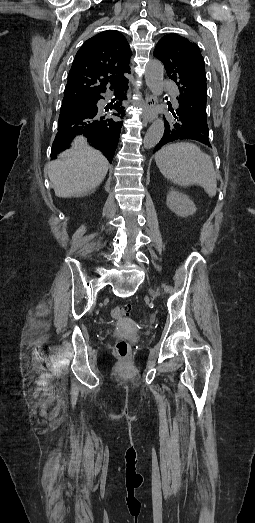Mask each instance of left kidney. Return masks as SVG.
Instances as JSON below:
<instances>
[{"instance_id":"1","label":"left kidney","mask_w":255,"mask_h":523,"mask_svg":"<svg viewBox=\"0 0 255 523\" xmlns=\"http://www.w3.org/2000/svg\"><path fill=\"white\" fill-rule=\"evenodd\" d=\"M166 202L169 210H171V212H175L177 216H182V218H186V216H192V214H195L197 210L194 202H192L188 196H185V194H180V192H176L174 188L169 190Z\"/></svg>"}]
</instances>
